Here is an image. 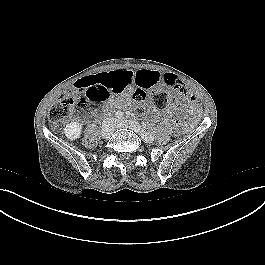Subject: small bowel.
Listing matches in <instances>:
<instances>
[{
	"label": "small bowel",
	"instance_id": "1",
	"mask_svg": "<svg viewBox=\"0 0 265 265\" xmlns=\"http://www.w3.org/2000/svg\"><path fill=\"white\" fill-rule=\"evenodd\" d=\"M94 76L108 77L110 79L111 87L114 91L113 93L123 92L124 90L128 89L133 85H137L143 89L157 88L163 86L165 77V75L155 70H116L99 73ZM171 111H174V108H171ZM199 112L194 114H199Z\"/></svg>",
	"mask_w": 265,
	"mask_h": 265
}]
</instances>
